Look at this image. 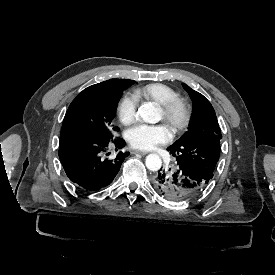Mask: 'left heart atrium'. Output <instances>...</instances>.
I'll return each instance as SVG.
<instances>
[{"label":"left heart atrium","instance_id":"left-heart-atrium-1","mask_svg":"<svg viewBox=\"0 0 275 275\" xmlns=\"http://www.w3.org/2000/svg\"><path fill=\"white\" fill-rule=\"evenodd\" d=\"M125 137L134 149L152 150L171 141L173 132L166 124L138 123L126 130Z\"/></svg>","mask_w":275,"mask_h":275}]
</instances>
